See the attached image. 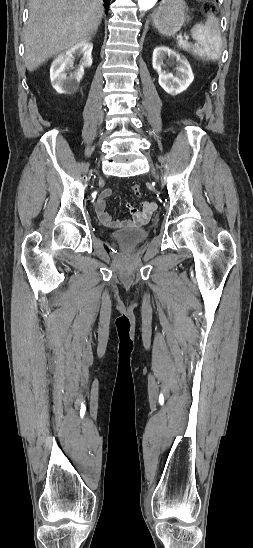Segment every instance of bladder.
<instances>
[{
  "label": "bladder",
  "mask_w": 253,
  "mask_h": 548,
  "mask_svg": "<svg viewBox=\"0 0 253 548\" xmlns=\"http://www.w3.org/2000/svg\"><path fill=\"white\" fill-rule=\"evenodd\" d=\"M110 237L118 244L137 245L147 239L148 232L143 228L122 229L111 233Z\"/></svg>",
  "instance_id": "bladder-1"
}]
</instances>
